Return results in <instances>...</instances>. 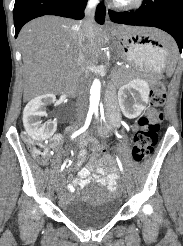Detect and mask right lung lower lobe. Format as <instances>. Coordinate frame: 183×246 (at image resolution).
<instances>
[{
	"instance_id": "right-lung-lower-lobe-1",
	"label": "right lung lower lobe",
	"mask_w": 183,
	"mask_h": 246,
	"mask_svg": "<svg viewBox=\"0 0 183 246\" xmlns=\"http://www.w3.org/2000/svg\"><path fill=\"white\" fill-rule=\"evenodd\" d=\"M86 3L87 0H15L13 9L15 37L25 23L43 15L80 20L84 17ZM105 13V6L99 4L95 13L96 22L103 24Z\"/></svg>"
}]
</instances>
